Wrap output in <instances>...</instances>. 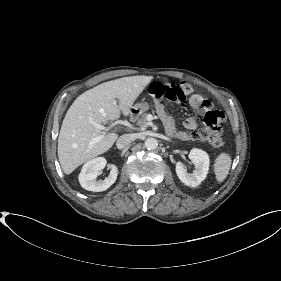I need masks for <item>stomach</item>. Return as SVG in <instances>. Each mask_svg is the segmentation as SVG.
<instances>
[{
  "label": "stomach",
  "instance_id": "obj_1",
  "mask_svg": "<svg viewBox=\"0 0 281 281\" xmlns=\"http://www.w3.org/2000/svg\"><path fill=\"white\" fill-rule=\"evenodd\" d=\"M149 109V104L147 102H139L132 107V112L134 115H140Z\"/></svg>",
  "mask_w": 281,
  "mask_h": 281
}]
</instances>
